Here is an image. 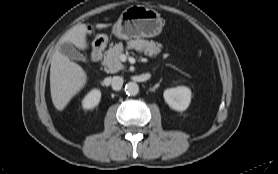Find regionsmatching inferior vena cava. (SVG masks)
<instances>
[{
	"mask_svg": "<svg viewBox=\"0 0 278 174\" xmlns=\"http://www.w3.org/2000/svg\"><path fill=\"white\" fill-rule=\"evenodd\" d=\"M123 78L120 76H114L111 79V86L114 90H120L122 88L123 85Z\"/></svg>",
	"mask_w": 278,
	"mask_h": 174,
	"instance_id": "obj_1",
	"label": "inferior vena cava"
}]
</instances>
